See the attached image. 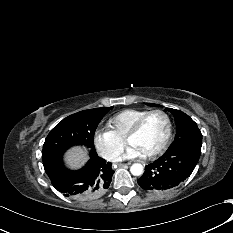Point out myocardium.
<instances>
[{"instance_id": "1", "label": "myocardium", "mask_w": 233, "mask_h": 233, "mask_svg": "<svg viewBox=\"0 0 233 233\" xmlns=\"http://www.w3.org/2000/svg\"><path fill=\"white\" fill-rule=\"evenodd\" d=\"M155 113H159L162 114L167 121V132H166V136L163 140V142L160 144V146L158 148H156L154 151H152L151 153L144 155L145 158H153L155 156H157L158 154H160L168 145L170 139H171V135H172V120L170 115L162 110V109H154V110H150L148 112H146L144 115H142L136 122L135 124L130 128V130L127 132L126 136H125V142L127 144H129V140L131 137H133L134 135H136L142 128L144 122L146 121V119L151 116L152 114Z\"/></svg>"}]
</instances>
